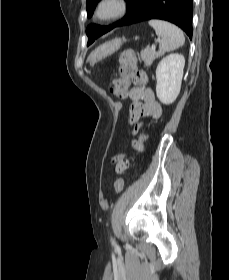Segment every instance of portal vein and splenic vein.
Wrapping results in <instances>:
<instances>
[{
  "label": "portal vein and splenic vein",
  "instance_id": "obj_1",
  "mask_svg": "<svg viewBox=\"0 0 229 280\" xmlns=\"http://www.w3.org/2000/svg\"><path fill=\"white\" fill-rule=\"evenodd\" d=\"M151 49H152V50H155V49H156V46L153 44V45L151 46Z\"/></svg>",
  "mask_w": 229,
  "mask_h": 280
}]
</instances>
